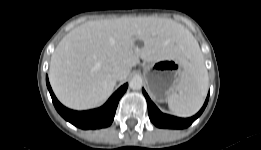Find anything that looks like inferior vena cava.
Masks as SVG:
<instances>
[{
	"label": "inferior vena cava",
	"instance_id": "602c4592",
	"mask_svg": "<svg viewBox=\"0 0 261 150\" xmlns=\"http://www.w3.org/2000/svg\"><path fill=\"white\" fill-rule=\"evenodd\" d=\"M130 70L124 66H115L112 70V76L116 80H124L127 78Z\"/></svg>",
	"mask_w": 261,
	"mask_h": 150
}]
</instances>
